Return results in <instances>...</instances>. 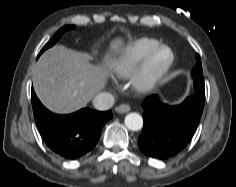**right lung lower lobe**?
Wrapping results in <instances>:
<instances>
[{"mask_svg":"<svg viewBox=\"0 0 236 187\" xmlns=\"http://www.w3.org/2000/svg\"><path fill=\"white\" fill-rule=\"evenodd\" d=\"M36 125L47 146L60 157L75 160L87 155L97 144L103 125L112 117L111 111L89 108L69 115H57L47 110L31 94Z\"/></svg>","mask_w":236,"mask_h":187,"instance_id":"1","label":"right lung lower lobe"}]
</instances>
